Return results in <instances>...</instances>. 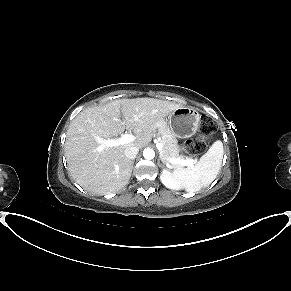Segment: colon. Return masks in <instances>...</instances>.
<instances>
[{
	"label": "colon",
	"mask_w": 291,
	"mask_h": 291,
	"mask_svg": "<svg viewBox=\"0 0 291 291\" xmlns=\"http://www.w3.org/2000/svg\"><path fill=\"white\" fill-rule=\"evenodd\" d=\"M216 130V124L213 120L207 118L201 121L200 131L203 135L207 136L212 134ZM204 148V142L202 140L188 139L183 145V150L189 155L199 154Z\"/></svg>",
	"instance_id": "obj_1"
}]
</instances>
